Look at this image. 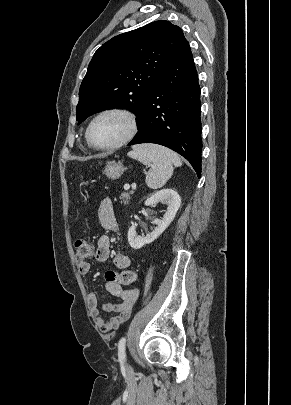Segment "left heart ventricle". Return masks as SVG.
<instances>
[{
    "label": "left heart ventricle",
    "mask_w": 291,
    "mask_h": 405,
    "mask_svg": "<svg viewBox=\"0 0 291 405\" xmlns=\"http://www.w3.org/2000/svg\"><path fill=\"white\" fill-rule=\"evenodd\" d=\"M127 131L128 123L124 117L109 114L102 116L93 124L90 137L94 145L107 146L120 140Z\"/></svg>",
    "instance_id": "left-heart-ventricle-1"
}]
</instances>
